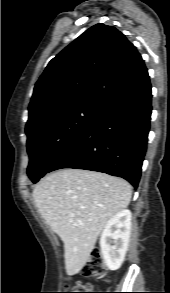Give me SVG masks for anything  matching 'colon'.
I'll return each instance as SVG.
<instances>
[{
  "label": "colon",
  "instance_id": "1",
  "mask_svg": "<svg viewBox=\"0 0 170 293\" xmlns=\"http://www.w3.org/2000/svg\"><path fill=\"white\" fill-rule=\"evenodd\" d=\"M82 275L92 280H100L104 278L105 272H104L103 258L99 248H95L91 252L90 257L82 271ZM73 289L75 292H71V293H98V292H88L90 291L91 287L81 283L77 284Z\"/></svg>",
  "mask_w": 170,
  "mask_h": 293
}]
</instances>
